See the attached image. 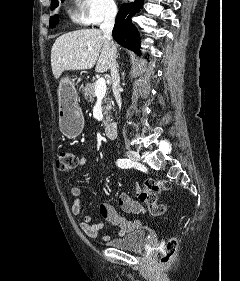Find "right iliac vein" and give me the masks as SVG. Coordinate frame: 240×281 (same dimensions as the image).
<instances>
[{"label":"right iliac vein","instance_id":"63e3f726","mask_svg":"<svg viewBox=\"0 0 240 281\" xmlns=\"http://www.w3.org/2000/svg\"><path fill=\"white\" fill-rule=\"evenodd\" d=\"M125 155L133 161H140V155L138 154V152H135L133 150H127L125 152Z\"/></svg>","mask_w":240,"mask_h":281}]
</instances>
